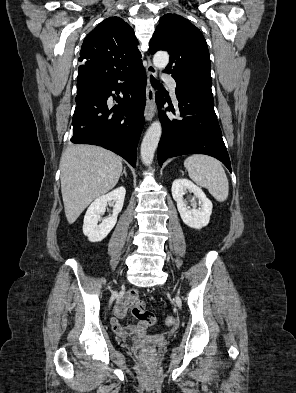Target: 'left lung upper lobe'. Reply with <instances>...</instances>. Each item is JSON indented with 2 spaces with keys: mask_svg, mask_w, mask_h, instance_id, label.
Listing matches in <instances>:
<instances>
[{
  "mask_svg": "<svg viewBox=\"0 0 296 393\" xmlns=\"http://www.w3.org/2000/svg\"><path fill=\"white\" fill-rule=\"evenodd\" d=\"M166 50L170 54L165 72L176 81V92L185 90L211 91L210 58L206 40L198 28L176 14L160 19L150 41L154 54Z\"/></svg>",
  "mask_w": 296,
  "mask_h": 393,
  "instance_id": "obj_1",
  "label": "left lung upper lobe"
}]
</instances>
